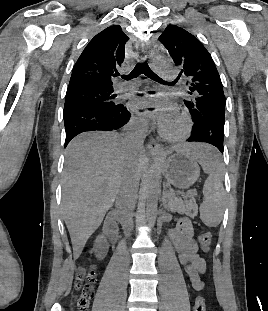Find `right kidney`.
<instances>
[{
    "mask_svg": "<svg viewBox=\"0 0 268 311\" xmlns=\"http://www.w3.org/2000/svg\"><path fill=\"white\" fill-rule=\"evenodd\" d=\"M108 247L106 239L103 236H98L94 244L96 257L98 259H103L108 252Z\"/></svg>",
    "mask_w": 268,
    "mask_h": 311,
    "instance_id": "ca27d5eb",
    "label": "right kidney"
}]
</instances>
